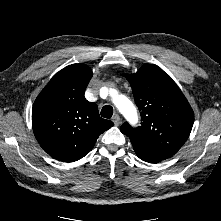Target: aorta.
Returning a JSON list of instances; mask_svg holds the SVG:
<instances>
[{
  "label": "aorta",
  "mask_w": 221,
  "mask_h": 221,
  "mask_svg": "<svg viewBox=\"0 0 221 221\" xmlns=\"http://www.w3.org/2000/svg\"><path fill=\"white\" fill-rule=\"evenodd\" d=\"M114 103L124 117L132 124L138 121V115L133 103L124 96L115 98Z\"/></svg>",
  "instance_id": "762f6f07"
}]
</instances>
